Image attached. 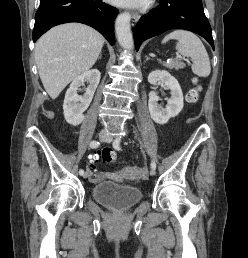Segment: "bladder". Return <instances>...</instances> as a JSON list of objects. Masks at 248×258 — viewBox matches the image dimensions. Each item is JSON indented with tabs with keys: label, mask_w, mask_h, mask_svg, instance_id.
<instances>
[{
	"label": "bladder",
	"mask_w": 248,
	"mask_h": 258,
	"mask_svg": "<svg viewBox=\"0 0 248 258\" xmlns=\"http://www.w3.org/2000/svg\"><path fill=\"white\" fill-rule=\"evenodd\" d=\"M92 196L96 202L110 208L125 209L139 202L143 193L137 187L104 182L93 187Z\"/></svg>",
	"instance_id": "bladder-1"
}]
</instances>
